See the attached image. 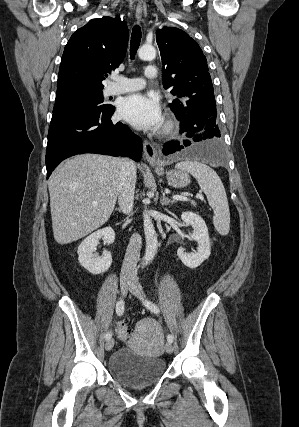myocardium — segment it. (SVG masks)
<instances>
[{
  "instance_id": "myocardium-1",
  "label": "myocardium",
  "mask_w": 299,
  "mask_h": 427,
  "mask_svg": "<svg viewBox=\"0 0 299 427\" xmlns=\"http://www.w3.org/2000/svg\"><path fill=\"white\" fill-rule=\"evenodd\" d=\"M177 129V124L175 120L171 117L167 118L166 121L163 124V127L161 129V134L164 136H168L173 134Z\"/></svg>"
}]
</instances>
